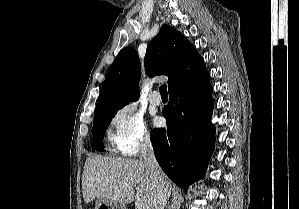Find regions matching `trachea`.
Returning a JSON list of instances; mask_svg holds the SVG:
<instances>
[{
    "mask_svg": "<svg viewBox=\"0 0 299 209\" xmlns=\"http://www.w3.org/2000/svg\"><path fill=\"white\" fill-rule=\"evenodd\" d=\"M161 96H168L167 86L164 84L159 88Z\"/></svg>",
    "mask_w": 299,
    "mask_h": 209,
    "instance_id": "obj_1",
    "label": "trachea"
}]
</instances>
